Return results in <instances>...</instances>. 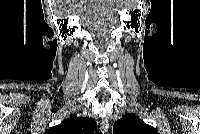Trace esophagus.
Returning <instances> with one entry per match:
<instances>
[{
	"label": "esophagus",
	"mask_w": 200,
	"mask_h": 134,
	"mask_svg": "<svg viewBox=\"0 0 200 134\" xmlns=\"http://www.w3.org/2000/svg\"><path fill=\"white\" fill-rule=\"evenodd\" d=\"M108 129H109V121L106 118L102 119L100 122V131L102 133H107Z\"/></svg>",
	"instance_id": "esophagus-1"
}]
</instances>
